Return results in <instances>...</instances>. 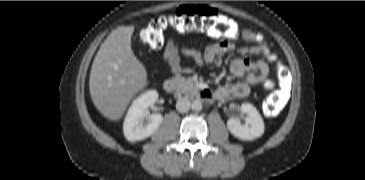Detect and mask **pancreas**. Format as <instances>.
<instances>
[{
  "instance_id": "obj_1",
  "label": "pancreas",
  "mask_w": 365,
  "mask_h": 180,
  "mask_svg": "<svg viewBox=\"0 0 365 180\" xmlns=\"http://www.w3.org/2000/svg\"><path fill=\"white\" fill-rule=\"evenodd\" d=\"M176 83V89L178 92L184 93V94H190L195 90L194 84L191 82V80L186 79L180 75H176L172 79Z\"/></svg>"
}]
</instances>
